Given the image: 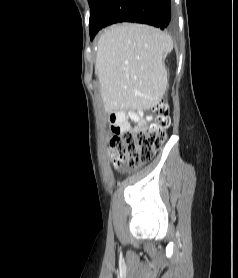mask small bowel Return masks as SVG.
<instances>
[{"instance_id":"1","label":"small bowel","mask_w":238,"mask_h":278,"mask_svg":"<svg viewBox=\"0 0 238 278\" xmlns=\"http://www.w3.org/2000/svg\"><path fill=\"white\" fill-rule=\"evenodd\" d=\"M107 119L111 125L113 133H115L126 130L145 129L152 117H144L142 111L136 110L129 114L122 111H116L109 114ZM130 122H134L136 126H131Z\"/></svg>"}]
</instances>
